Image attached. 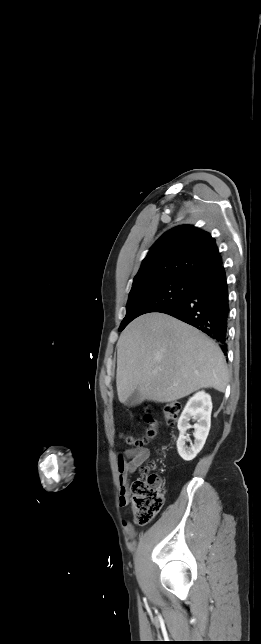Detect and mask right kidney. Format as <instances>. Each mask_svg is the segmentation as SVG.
Segmentation results:
<instances>
[{
    "mask_svg": "<svg viewBox=\"0 0 261 644\" xmlns=\"http://www.w3.org/2000/svg\"><path fill=\"white\" fill-rule=\"evenodd\" d=\"M211 411V397L204 391L197 392L187 402L178 420L180 435L177 440L178 453L185 461L194 459L203 448L210 430ZM191 419L197 421L193 426L189 424ZM189 428H194L193 435L195 440L193 444L191 443L190 447H187L185 442L189 439L185 434Z\"/></svg>",
    "mask_w": 261,
    "mask_h": 644,
    "instance_id": "1",
    "label": "right kidney"
}]
</instances>
